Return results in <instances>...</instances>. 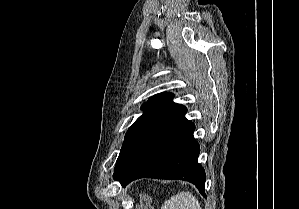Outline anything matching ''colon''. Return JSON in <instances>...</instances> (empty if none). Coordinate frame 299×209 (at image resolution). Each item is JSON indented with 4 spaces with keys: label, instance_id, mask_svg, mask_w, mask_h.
Wrapping results in <instances>:
<instances>
[{
    "label": "colon",
    "instance_id": "5ec220e1",
    "mask_svg": "<svg viewBox=\"0 0 299 209\" xmlns=\"http://www.w3.org/2000/svg\"><path fill=\"white\" fill-rule=\"evenodd\" d=\"M149 200L148 198H143L141 202L140 209H149Z\"/></svg>",
    "mask_w": 299,
    "mask_h": 209
}]
</instances>
